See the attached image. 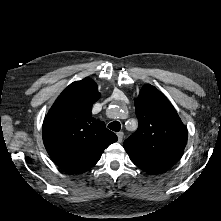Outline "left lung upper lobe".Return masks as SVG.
<instances>
[{
	"instance_id": "5c2ea615",
	"label": "left lung upper lobe",
	"mask_w": 221,
	"mask_h": 221,
	"mask_svg": "<svg viewBox=\"0 0 221 221\" xmlns=\"http://www.w3.org/2000/svg\"><path fill=\"white\" fill-rule=\"evenodd\" d=\"M138 129L124 141L131 161L148 174L167 171L187 143V128L168 99L145 85L135 100Z\"/></svg>"
}]
</instances>
